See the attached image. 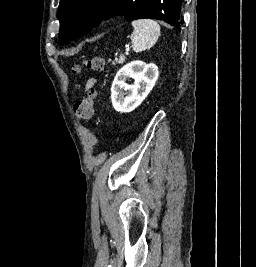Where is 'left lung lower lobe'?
<instances>
[{"label": "left lung lower lobe", "mask_w": 256, "mask_h": 267, "mask_svg": "<svg viewBox=\"0 0 256 267\" xmlns=\"http://www.w3.org/2000/svg\"><path fill=\"white\" fill-rule=\"evenodd\" d=\"M183 0H175V6H176V23H175V27L179 28V30H181V24H182V20H181V4H182Z\"/></svg>", "instance_id": "0a47b994"}]
</instances>
